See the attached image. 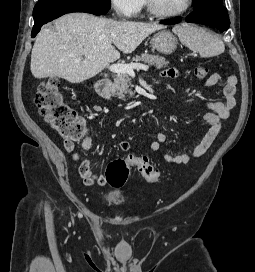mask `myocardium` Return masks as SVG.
<instances>
[{
  "instance_id": "obj_1",
  "label": "myocardium",
  "mask_w": 255,
  "mask_h": 272,
  "mask_svg": "<svg viewBox=\"0 0 255 272\" xmlns=\"http://www.w3.org/2000/svg\"><path fill=\"white\" fill-rule=\"evenodd\" d=\"M147 12L156 18H161V19H170V18H176L179 17L183 14H185L192 6L193 0H187V3L184 8H182L179 11L176 12H162L159 11L155 5H154V0H144Z\"/></svg>"
}]
</instances>
